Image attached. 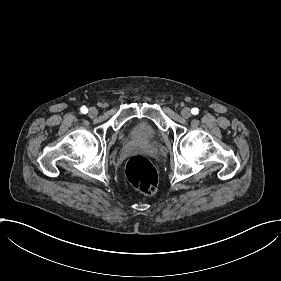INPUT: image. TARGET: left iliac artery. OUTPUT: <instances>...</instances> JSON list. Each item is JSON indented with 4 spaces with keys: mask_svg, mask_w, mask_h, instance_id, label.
Wrapping results in <instances>:
<instances>
[{
    "mask_svg": "<svg viewBox=\"0 0 281 281\" xmlns=\"http://www.w3.org/2000/svg\"><path fill=\"white\" fill-rule=\"evenodd\" d=\"M191 113L193 114V115H197L199 112H198V108H193V109H191Z\"/></svg>",
    "mask_w": 281,
    "mask_h": 281,
    "instance_id": "left-iliac-artery-1",
    "label": "left iliac artery"
}]
</instances>
